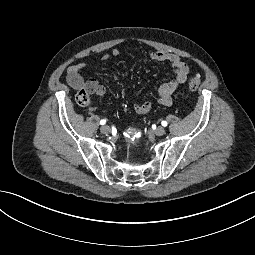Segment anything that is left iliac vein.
<instances>
[{
	"label": "left iliac vein",
	"mask_w": 255,
	"mask_h": 255,
	"mask_svg": "<svg viewBox=\"0 0 255 255\" xmlns=\"http://www.w3.org/2000/svg\"><path fill=\"white\" fill-rule=\"evenodd\" d=\"M155 134L158 136H162L165 134V129L159 126L155 129Z\"/></svg>",
	"instance_id": "4c4485c4"
}]
</instances>
